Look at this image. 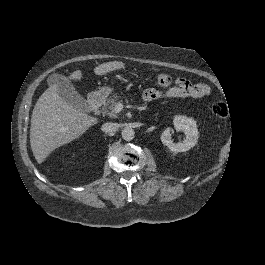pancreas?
<instances>
[{"label": "pancreas", "instance_id": "cf45deb5", "mask_svg": "<svg viewBox=\"0 0 265 265\" xmlns=\"http://www.w3.org/2000/svg\"><path fill=\"white\" fill-rule=\"evenodd\" d=\"M121 102V96L113 94L110 96L101 110L103 111V114L111 117H115L116 114L113 112L114 107Z\"/></svg>", "mask_w": 265, "mask_h": 265}]
</instances>
